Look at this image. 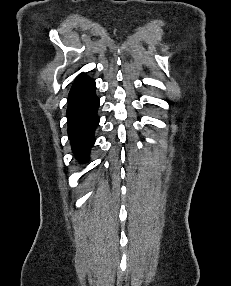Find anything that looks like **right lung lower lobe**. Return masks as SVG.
<instances>
[{"label":"right lung lower lobe","mask_w":231,"mask_h":286,"mask_svg":"<svg viewBox=\"0 0 231 286\" xmlns=\"http://www.w3.org/2000/svg\"><path fill=\"white\" fill-rule=\"evenodd\" d=\"M95 81L80 74L69 93L67 108L68 135L77 160L86 162L95 142L94 131L99 123V99Z\"/></svg>","instance_id":"right-lung-lower-lobe-1"}]
</instances>
